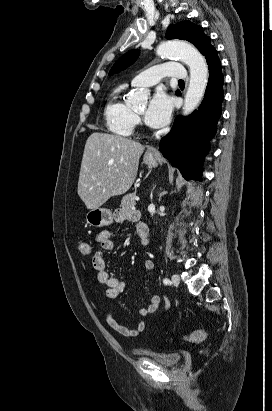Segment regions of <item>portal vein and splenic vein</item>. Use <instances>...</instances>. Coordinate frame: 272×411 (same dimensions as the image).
Returning a JSON list of instances; mask_svg holds the SVG:
<instances>
[{"instance_id":"obj_1","label":"portal vein and splenic vein","mask_w":272,"mask_h":411,"mask_svg":"<svg viewBox=\"0 0 272 411\" xmlns=\"http://www.w3.org/2000/svg\"><path fill=\"white\" fill-rule=\"evenodd\" d=\"M139 199H140V198H139L138 196L135 197V200H136V201H139Z\"/></svg>"}]
</instances>
